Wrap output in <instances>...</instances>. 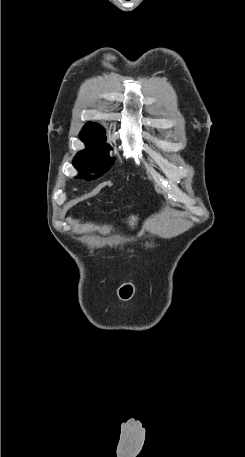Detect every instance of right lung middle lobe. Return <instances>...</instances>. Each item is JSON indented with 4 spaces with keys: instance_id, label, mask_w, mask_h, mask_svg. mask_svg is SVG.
I'll return each instance as SVG.
<instances>
[{
    "instance_id": "obj_1",
    "label": "right lung middle lobe",
    "mask_w": 245,
    "mask_h": 457,
    "mask_svg": "<svg viewBox=\"0 0 245 457\" xmlns=\"http://www.w3.org/2000/svg\"><path fill=\"white\" fill-rule=\"evenodd\" d=\"M80 138L86 143V149L77 153L73 160V165L82 173L92 171L98 167L97 176H88L86 179L91 180L103 174L114 159L107 156L110 147L105 144L106 135L103 128L84 126L80 133ZM103 157H107L104 159ZM80 177V176H79Z\"/></svg>"
}]
</instances>
